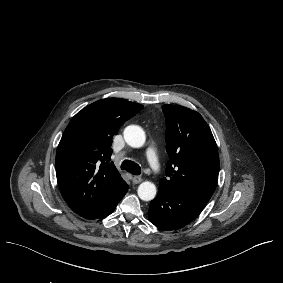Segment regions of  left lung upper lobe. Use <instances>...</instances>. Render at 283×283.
<instances>
[{"label": "left lung upper lobe", "instance_id": "1", "mask_svg": "<svg viewBox=\"0 0 283 283\" xmlns=\"http://www.w3.org/2000/svg\"><path fill=\"white\" fill-rule=\"evenodd\" d=\"M166 120L167 178L159 188L207 203L219 173L217 145L202 116L178 105H163Z\"/></svg>", "mask_w": 283, "mask_h": 283}]
</instances>
